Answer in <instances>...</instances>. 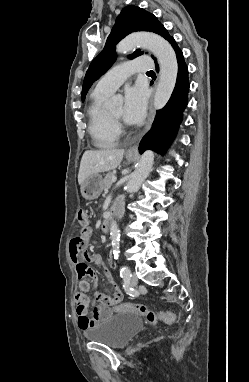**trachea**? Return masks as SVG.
<instances>
[{
    "instance_id": "1",
    "label": "trachea",
    "mask_w": 249,
    "mask_h": 382,
    "mask_svg": "<svg viewBox=\"0 0 249 382\" xmlns=\"http://www.w3.org/2000/svg\"><path fill=\"white\" fill-rule=\"evenodd\" d=\"M147 74H154V71H148Z\"/></svg>"
}]
</instances>
